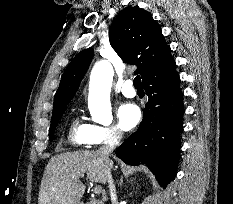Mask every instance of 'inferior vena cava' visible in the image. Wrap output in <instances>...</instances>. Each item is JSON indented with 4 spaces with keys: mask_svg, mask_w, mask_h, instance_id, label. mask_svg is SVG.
I'll return each mask as SVG.
<instances>
[{
    "mask_svg": "<svg viewBox=\"0 0 233 204\" xmlns=\"http://www.w3.org/2000/svg\"><path fill=\"white\" fill-rule=\"evenodd\" d=\"M121 138H122L121 132L116 131L107 141L104 142V145L100 147L99 152L102 154V156L107 158L108 161L112 160V157L110 156V154L115 149V147L119 144ZM106 175H107V182L109 184L112 204H116L115 185H114V181H113L110 169L106 172Z\"/></svg>",
    "mask_w": 233,
    "mask_h": 204,
    "instance_id": "602c4592",
    "label": "inferior vena cava"
}]
</instances>
